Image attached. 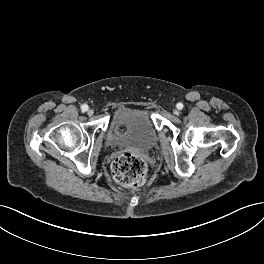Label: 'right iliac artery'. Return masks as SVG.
<instances>
[{
  "label": "right iliac artery",
  "mask_w": 264,
  "mask_h": 264,
  "mask_svg": "<svg viewBox=\"0 0 264 264\" xmlns=\"http://www.w3.org/2000/svg\"><path fill=\"white\" fill-rule=\"evenodd\" d=\"M88 105L87 104H84V105H82V107H81V109H82V112H85V111H87L88 110Z\"/></svg>",
  "instance_id": "obj_1"
}]
</instances>
